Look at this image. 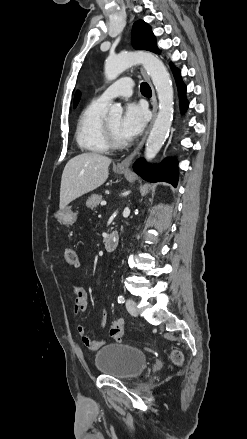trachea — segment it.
Listing matches in <instances>:
<instances>
[{"mask_svg":"<svg viewBox=\"0 0 247 439\" xmlns=\"http://www.w3.org/2000/svg\"><path fill=\"white\" fill-rule=\"evenodd\" d=\"M140 89L144 96H151V88L146 82L141 83Z\"/></svg>","mask_w":247,"mask_h":439,"instance_id":"3493384b","label":"trachea"}]
</instances>
